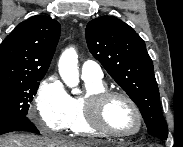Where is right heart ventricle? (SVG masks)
Segmentation results:
<instances>
[{"instance_id":"obj_1","label":"right heart ventricle","mask_w":183,"mask_h":147,"mask_svg":"<svg viewBox=\"0 0 183 147\" xmlns=\"http://www.w3.org/2000/svg\"><path fill=\"white\" fill-rule=\"evenodd\" d=\"M86 94L84 96L70 97V117L67 129L76 136L94 137L100 134L94 130L87 120L86 99L89 95L105 90V84L100 81L84 80Z\"/></svg>"}]
</instances>
